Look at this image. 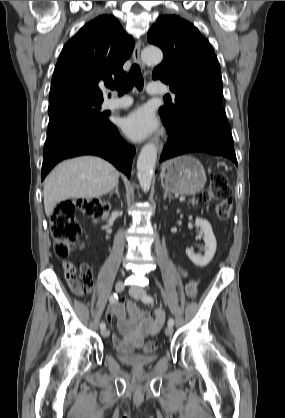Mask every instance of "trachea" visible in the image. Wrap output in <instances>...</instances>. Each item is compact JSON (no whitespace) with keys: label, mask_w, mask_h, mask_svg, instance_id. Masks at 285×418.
<instances>
[{"label":"trachea","mask_w":285,"mask_h":418,"mask_svg":"<svg viewBox=\"0 0 285 418\" xmlns=\"http://www.w3.org/2000/svg\"><path fill=\"white\" fill-rule=\"evenodd\" d=\"M134 86H136L138 90H142L144 86V79L140 67L137 64L132 65L128 76L120 84L114 83L108 85L110 89H116L119 95L129 92Z\"/></svg>","instance_id":"obj_1"}]
</instances>
